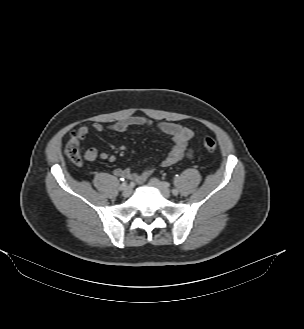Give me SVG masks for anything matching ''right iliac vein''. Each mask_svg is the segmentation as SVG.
<instances>
[{
  "instance_id": "right-iliac-vein-1",
  "label": "right iliac vein",
  "mask_w": 304,
  "mask_h": 329,
  "mask_svg": "<svg viewBox=\"0 0 304 329\" xmlns=\"http://www.w3.org/2000/svg\"><path fill=\"white\" fill-rule=\"evenodd\" d=\"M131 193H132V188L130 186H126L122 191V195L124 197H129Z\"/></svg>"
}]
</instances>
